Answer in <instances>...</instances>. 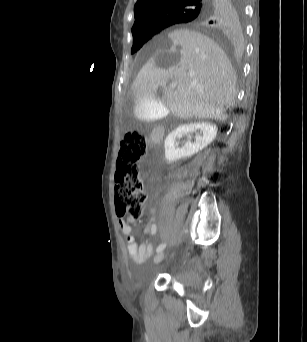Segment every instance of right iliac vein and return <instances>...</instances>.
Listing matches in <instances>:
<instances>
[{
    "mask_svg": "<svg viewBox=\"0 0 307 342\" xmlns=\"http://www.w3.org/2000/svg\"><path fill=\"white\" fill-rule=\"evenodd\" d=\"M164 256H165V253L163 251L158 252L154 257V262L155 263L161 262L163 260Z\"/></svg>",
    "mask_w": 307,
    "mask_h": 342,
    "instance_id": "1",
    "label": "right iliac vein"
}]
</instances>
